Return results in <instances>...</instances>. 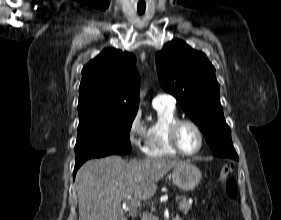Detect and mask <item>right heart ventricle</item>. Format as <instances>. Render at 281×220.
<instances>
[{"label":"right heart ventricle","instance_id":"right-heart-ventricle-1","mask_svg":"<svg viewBox=\"0 0 281 220\" xmlns=\"http://www.w3.org/2000/svg\"><path fill=\"white\" fill-rule=\"evenodd\" d=\"M157 118L146 129L143 152L149 157H168L178 153L172 148L168 139L170 125L176 121L178 114L174 106L153 105Z\"/></svg>","mask_w":281,"mask_h":220}]
</instances>
